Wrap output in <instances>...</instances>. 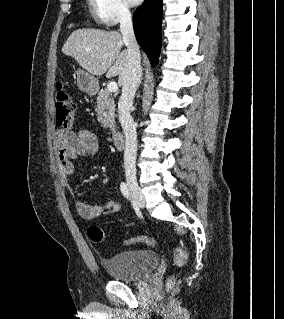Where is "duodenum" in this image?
Listing matches in <instances>:
<instances>
[{
	"mask_svg": "<svg viewBox=\"0 0 284 319\" xmlns=\"http://www.w3.org/2000/svg\"><path fill=\"white\" fill-rule=\"evenodd\" d=\"M112 140L116 148L121 149L125 145L124 134L119 130L112 131Z\"/></svg>",
	"mask_w": 284,
	"mask_h": 319,
	"instance_id": "obj_1",
	"label": "duodenum"
}]
</instances>
